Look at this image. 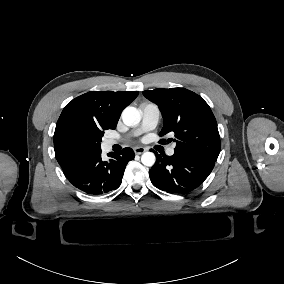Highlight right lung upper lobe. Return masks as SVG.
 Returning <instances> with one entry per match:
<instances>
[{"label":"right lung upper lobe","mask_w":284,"mask_h":284,"mask_svg":"<svg viewBox=\"0 0 284 284\" xmlns=\"http://www.w3.org/2000/svg\"><path fill=\"white\" fill-rule=\"evenodd\" d=\"M137 91H91L63 109L55 128V156L63 168L101 151L104 131L115 129L123 109Z\"/></svg>","instance_id":"obj_1"}]
</instances>
